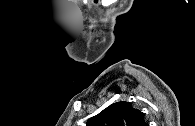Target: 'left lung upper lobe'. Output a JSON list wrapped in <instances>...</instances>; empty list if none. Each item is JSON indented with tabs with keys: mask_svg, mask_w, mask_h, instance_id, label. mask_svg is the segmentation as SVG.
Masks as SVG:
<instances>
[{
	"mask_svg": "<svg viewBox=\"0 0 195 126\" xmlns=\"http://www.w3.org/2000/svg\"><path fill=\"white\" fill-rule=\"evenodd\" d=\"M87 126H147L143 113L131 103L121 101L111 104L88 120Z\"/></svg>",
	"mask_w": 195,
	"mask_h": 126,
	"instance_id": "5c2ea615",
	"label": "left lung upper lobe"
}]
</instances>
